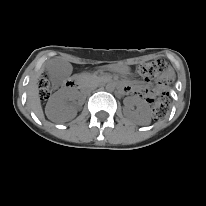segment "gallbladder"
<instances>
[{
	"label": "gallbladder",
	"mask_w": 206,
	"mask_h": 206,
	"mask_svg": "<svg viewBox=\"0 0 206 206\" xmlns=\"http://www.w3.org/2000/svg\"><path fill=\"white\" fill-rule=\"evenodd\" d=\"M50 81L56 85H61L72 73L73 67L69 62L60 59H51L46 62Z\"/></svg>",
	"instance_id": "obj_1"
}]
</instances>
